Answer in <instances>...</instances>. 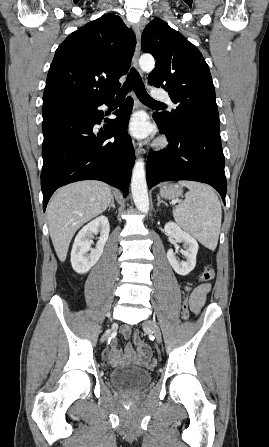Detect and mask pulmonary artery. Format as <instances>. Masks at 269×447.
<instances>
[{
  "mask_svg": "<svg viewBox=\"0 0 269 447\" xmlns=\"http://www.w3.org/2000/svg\"><path fill=\"white\" fill-rule=\"evenodd\" d=\"M154 98L155 99H164L168 101L171 105V107L175 108L176 106L171 102V100L167 97V91L166 90H155L154 91Z\"/></svg>",
  "mask_w": 269,
  "mask_h": 447,
  "instance_id": "1",
  "label": "pulmonary artery"
}]
</instances>
